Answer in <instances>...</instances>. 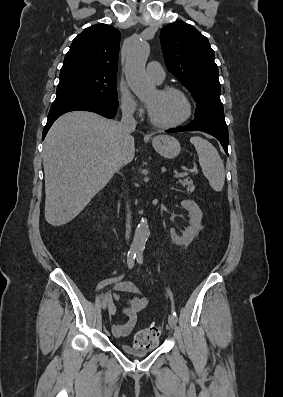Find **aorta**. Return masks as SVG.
<instances>
[{"instance_id": "obj_1", "label": "aorta", "mask_w": 283, "mask_h": 397, "mask_svg": "<svg viewBox=\"0 0 283 397\" xmlns=\"http://www.w3.org/2000/svg\"><path fill=\"white\" fill-rule=\"evenodd\" d=\"M150 47L146 42H136L131 46L125 64L126 80L134 94L143 99L154 91V85L148 80L145 71ZM150 235L146 218H142L135 230L132 250L141 251Z\"/></svg>"}]
</instances>
